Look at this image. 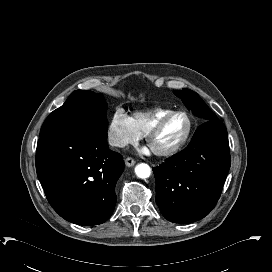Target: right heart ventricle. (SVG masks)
<instances>
[{
	"label": "right heart ventricle",
	"instance_id": "e07e8e85",
	"mask_svg": "<svg viewBox=\"0 0 272 272\" xmlns=\"http://www.w3.org/2000/svg\"><path fill=\"white\" fill-rule=\"evenodd\" d=\"M171 109H156L150 113L140 114L136 113L133 116V120L137 127L141 130L142 133H145L146 130L155 123L161 116L171 112Z\"/></svg>",
	"mask_w": 272,
	"mask_h": 272
}]
</instances>
